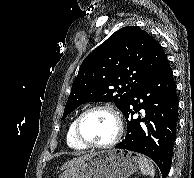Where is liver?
<instances>
[{
  "label": "liver",
  "instance_id": "liver-1",
  "mask_svg": "<svg viewBox=\"0 0 194 178\" xmlns=\"http://www.w3.org/2000/svg\"><path fill=\"white\" fill-rule=\"evenodd\" d=\"M90 155H91V153H90V154H86V155H84V156H82V157L73 158V159L67 161V162L62 166V170L68 169V168H70V167H72V166H74V165H76V164H78V163H81L84 159H86V158L89 157Z\"/></svg>",
  "mask_w": 194,
  "mask_h": 178
}]
</instances>
